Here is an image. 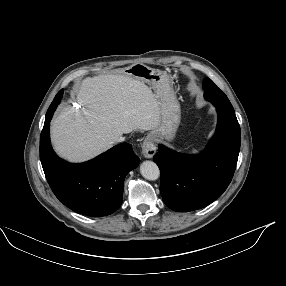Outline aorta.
Returning <instances> with one entry per match:
<instances>
[{
  "mask_svg": "<svg viewBox=\"0 0 286 286\" xmlns=\"http://www.w3.org/2000/svg\"><path fill=\"white\" fill-rule=\"evenodd\" d=\"M141 175L147 180H157L160 170L153 161H144L140 166Z\"/></svg>",
  "mask_w": 286,
  "mask_h": 286,
  "instance_id": "aorta-1",
  "label": "aorta"
}]
</instances>
